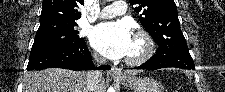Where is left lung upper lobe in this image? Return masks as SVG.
Masks as SVG:
<instances>
[{
  "instance_id": "obj_1",
  "label": "left lung upper lobe",
  "mask_w": 225,
  "mask_h": 92,
  "mask_svg": "<svg viewBox=\"0 0 225 92\" xmlns=\"http://www.w3.org/2000/svg\"><path fill=\"white\" fill-rule=\"evenodd\" d=\"M140 22L159 46L157 55L189 53L174 0H129Z\"/></svg>"
}]
</instances>
